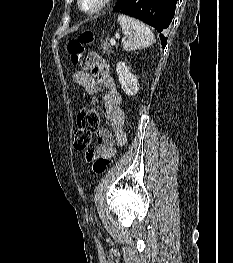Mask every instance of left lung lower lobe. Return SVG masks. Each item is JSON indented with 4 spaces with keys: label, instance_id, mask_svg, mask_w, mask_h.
I'll return each instance as SVG.
<instances>
[{
    "label": "left lung lower lobe",
    "instance_id": "1",
    "mask_svg": "<svg viewBox=\"0 0 233 263\" xmlns=\"http://www.w3.org/2000/svg\"><path fill=\"white\" fill-rule=\"evenodd\" d=\"M176 3L177 0H118L113 11L135 17L154 27L160 33L164 48L167 38L162 32L174 17Z\"/></svg>",
    "mask_w": 233,
    "mask_h": 263
}]
</instances>
